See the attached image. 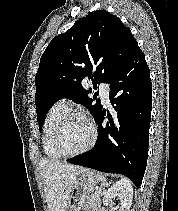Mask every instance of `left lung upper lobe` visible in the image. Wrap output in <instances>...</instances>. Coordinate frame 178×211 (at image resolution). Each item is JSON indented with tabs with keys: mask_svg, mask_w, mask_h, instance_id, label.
Returning <instances> with one entry per match:
<instances>
[{
	"mask_svg": "<svg viewBox=\"0 0 178 211\" xmlns=\"http://www.w3.org/2000/svg\"><path fill=\"white\" fill-rule=\"evenodd\" d=\"M136 46L130 29L106 10L90 12L53 38L41 56L35 77L40 127L49 109L63 97L83 104L96 118L102 106L93 103L88 97L92 88L84 89L82 82L91 79L96 90L99 81L108 82Z\"/></svg>",
	"mask_w": 178,
	"mask_h": 211,
	"instance_id": "obj_1",
	"label": "left lung upper lobe"
}]
</instances>
